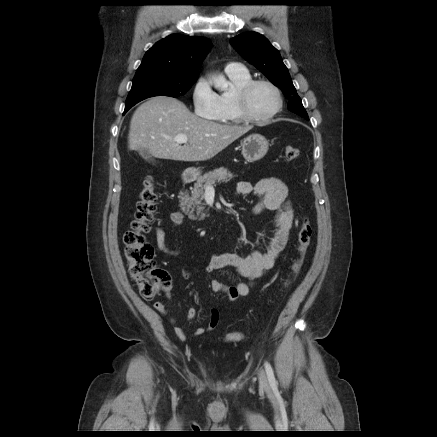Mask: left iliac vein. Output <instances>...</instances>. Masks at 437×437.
I'll use <instances>...</instances> for the list:
<instances>
[{
	"label": "left iliac vein",
	"instance_id": "4c4485c4",
	"mask_svg": "<svg viewBox=\"0 0 437 437\" xmlns=\"http://www.w3.org/2000/svg\"><path fill=\"white\" fill-rule=\"evenodd\" d=\"M259 384H260V387L262 389H264L266 391L269 390L268 380H267L266 374L263 370H260V372H259Z\"/></svg>",
	"mask_w": 437,
	"mask_h": 437
}]
</instances>
